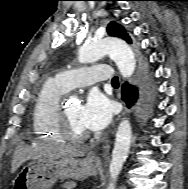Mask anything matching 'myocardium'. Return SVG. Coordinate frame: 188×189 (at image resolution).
<instances>
[{"instance_id":"f54148a6","label":"myocardium","mask_w":188,"mask_h":189,"mask_svg":"<svg viewBox=\"0 0 188 189\" xmlns=\"http://www.w3.org/2000/svg\"><path fill=\"white\" fill-rule=\"evenodd\" d=\"M58 125L60 132L64 139L71 141V142H79L82 140H85L89 137L88 132H74L71 129L69 118L67 115L66 108L63 106H60L59 113H58Z\"/></svg>"}]
</instances>
